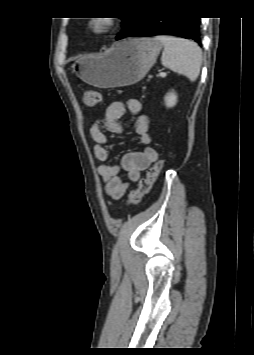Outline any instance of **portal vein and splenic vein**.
Masks as SVG:
<instances>
[{"instance_id": "18ae733b", "label": "portal vein and splenic vein", "mask_w": 254, "mask_h": 355, "mask_svg": "<svg viewBox=\"0 0 254 355\" xmlns=\"http://www.w3.org/2000/svg\"><path fill=\"white\" fill-rule=\"evenodd\" d=\"M166 75H167V74H166L165 72H160V73H159V76H160V77H166Z\"/></svg>"}]
</instances>
